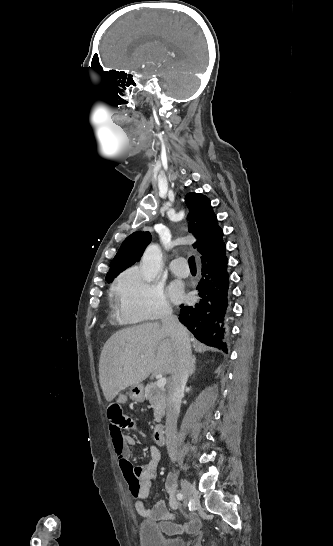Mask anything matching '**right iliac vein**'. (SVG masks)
I'll return each mask as SVG.
<instances>
[{
  "label": "right iliac vein",
  "instance_id": "right-iliac-vein-1",
  "mask_svg": "<svg viewBox=\"0 0 333 546\" xmlns=\"http://www.w3.org/2000/svg\"><path fill=\"white\" fill-rule=\"evenodd\" d=\"M181 487H182V491H183V494H184V497H185V502L186 504L191 500L194 492H195V488L193 487V485L188 482L187 480L185 479H181Z\"/></svg>",
  "mask_w": 333,
  "mask_h": 546
}]
</instances>
